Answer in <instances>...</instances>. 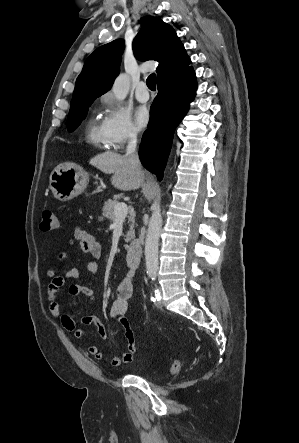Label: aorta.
Returning a JSON list of instances; mask_svg holds the SVG:
<instances>
[{
    "label": "aorta",
    "instance_id": "762f6f07",
    "mask_svg": "<svg viewBox=\"0 0 299 443\" xmlns=\"http://www.w3.org/2000/svg\"><path fill=\"white\" fill-rule=\"evenodd\" d=\"M130 89V80L126 74H120L114 81L112 92L118 100H124ZM151 218L145 240L146 269L149 274H156L158 270V244L162 226V216L159 199L151 205Z\"/></svg>",
    "mask_w": 299,
    "mask_h": 443
}]
</instances>
